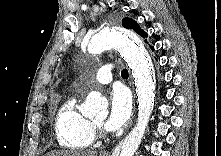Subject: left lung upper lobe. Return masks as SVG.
Returning <instances> with one entry per match:
<instances>
[{"mask_svg":"<svg viewBox=\"0 0 221 156\" xmlns=\"http://www.w3.org/2000/svg\"><path fill=\"white\" fill-rule=\"evenodd\" d=\"M122 25L128 29H134L136 33L141 35L142 37H147V33H145L142 29H140L139 25L132 19L124 18L122 20ZM152 48V47H151Z\"/></svg>","mask_w":221,"mask_h":156,"instance_id":"obj_1","label":"left lung upper lobe"}]
</instances>
